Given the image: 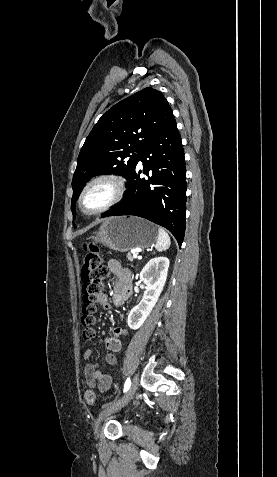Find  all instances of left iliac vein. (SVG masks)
<instances>
[{"label":"left iliac vein","mask_w":277,"mask_h":477,"mask_svg":"<svg viewBox=\"0 0 277 477\" xmlns=\"http://www.w3.org/2000/svg\"><path fill=\"white\" fill-rule=\"evenodd\" d=\"M138 383H139V377L136 374L133 377L132 383L130 385V388L128 389L127 393L122 396L120 399L117 401L113 402L112 404L108 405L99 415L95 422V427H94V433L96 436H98L99 429H100V424L103 421L104 418L108 417L109 415L119 411L122 409L124 406H126L130 400L134 397L135 392L138 388Z\"/></svg>","instance_id":"4c4485c4"}]
</instances>
